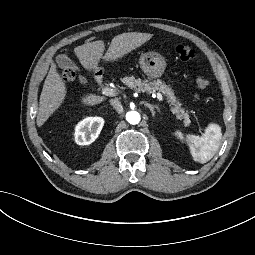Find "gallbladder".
<instances>
[{"mask_svg": "<svg viewBox=\"0 0 255 255\" xmlns=\"http://www.w3.org/2000/svg\"><path fill=\"white\" fill-rule=\"evenodd\" d=\"M55 61L59 68L70 69L76 73H80V68L77 66L75 61H73L69 54H60L55 57ZM79 83L85 85L88 83L87 78L83 77L81 74L78 75Z\"/></svg>", "mask_w": 255, "mask_h": 255, "instance_id": "obj_1", "label": "gallbladder"}]
</instances>
